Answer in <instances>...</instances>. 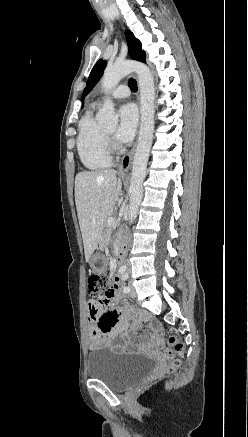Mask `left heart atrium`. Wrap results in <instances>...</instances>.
<instances>
[{
  "label": "left heart atrium",
  "instance_id": "39dd6f15",
  "mask_svg": "<svg viewBox=\"0 0 248 437\" xmlns=\"http://www.w3.org/2000/svg\"><path fill=\"white\" fill-rule=\"evenodd\" d=\"M138 122L137 109L133 104H125L119 109V125L115 133L121 143L129 142L136 131Z\"/></svg>",
  "mask_w": 248,
  "mask_h": 437
}]
</instances>
